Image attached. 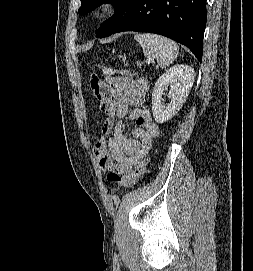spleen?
I'll list each match as a JSON object with an SVG mask.
<instances>
[{
    "mask_svg": "<svg viewBox=\"0 0 253 271\" xmlns=\"http://www.w3.org/2000/svg\"><path fill=\"white\" fill-rule=\"evenodd\" d=\"M134 39L141 45L144 55L155 59L158 67L161 68L172 64L179 52L175 41L160 35L142 33L136 34Z\"/></svg>",
    "mask_w": 253,
    "mask_h": 271,
    "instance_id": "spleen-1",
    "label": "spleen"
}]
</instances>
